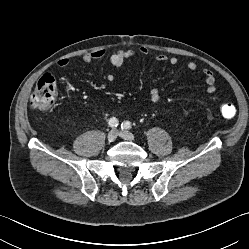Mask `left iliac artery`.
Returning a JSON list of instances; mask_svg holds the SVG:
<instances>
[{
    "mask_svg": "<svg viewBox=\"0 0 249 249\" xmlns=\"http://www.w3.org/2000/svg\"><path fill=\"white\" fill-rule=\"evenodd\" d=\"M121 127L122 129H130L131 128V123L129 121H124L122 124H121Z\"/></svg>",
    "mask_w": 249,
    "mask_h": 249,
    "instance_id": "left-iliac-artery-1",
    "label": "left iliac artery"
}]
</instances>
